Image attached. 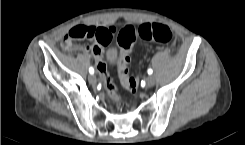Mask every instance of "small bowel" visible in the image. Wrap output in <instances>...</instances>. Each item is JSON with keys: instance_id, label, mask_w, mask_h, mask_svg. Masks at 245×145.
<instances>
[{"instance_id": "c3829d8e", "label": "small bowel", "mask_w": 245, "mask_h": 145, "mask_svg": "<svg viewBox=\"0 0 245 145\" xmlns=\"http://www.w3.org/2000/svg\"><path fill=\"white\" fill-rule=\"evenodd\" d=\"M88 27H92L96 31H101V30L105 31L104 34L98 35L94 40H92V43L90 46L84 47V48L96 59L98 67L102 65L106 66L104 62V49L103 48L112 38L113 34L110 32V29L115 28V26L114 25H105V26L89 25ZM71 46H72L71 43L67 45H63L64 49L68 51H72Z\"/></svg>"}]
</instances>
